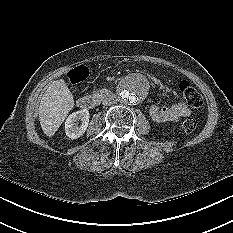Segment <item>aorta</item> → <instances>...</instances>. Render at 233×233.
I'll return each instance as SVG.
<instances>
[{
  "instance_id": "1",
  "label": "aorta",
  "mask_w": 233,
  "mask_h": 233,
  "mask_svg": "<svg viewBox=\"0 0 233 233\" xmlns=\"http://www.w3.org/2000/svg\"><path fill=\"white\" fill-rule=\"evenodd\" d=\"M147 94L145 80L140 76L126 78L119 87L120 100L124 104H136L141 102Z\"/></svg>"
}]
</instances>
